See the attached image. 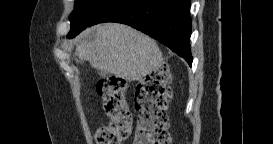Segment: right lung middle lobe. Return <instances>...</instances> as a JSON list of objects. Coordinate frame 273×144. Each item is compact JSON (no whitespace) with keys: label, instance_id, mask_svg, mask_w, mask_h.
I'll use <instances>...</instances> for the list:
<instances>
[{"label":"right lung middle lobe","instance_id":"right-lung-middle-lobe-1","mask_svg":"<svg viewBox=\"0 0 273 144\" xmlns=\"http://www.w3.org/2000/svg\"><path fill=\"white\" fill-rule=\"evenodd\" d=\"M111 0H76L71 14V30L68 38L75 37L84 30L89 21Z\"/></svg>","mask_w":273,"mask_h":144}]
</instances>
